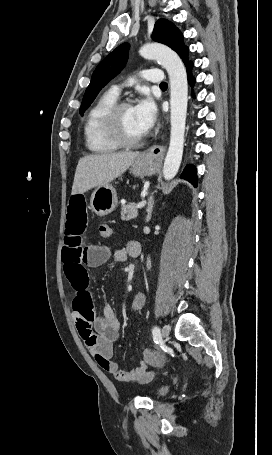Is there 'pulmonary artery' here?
Instances as JSON below:
<instances>
[{
    "label": "pulmonary artery",
    "mask_w": 272,
    "mask_h": 455,
    "mask_svg": "<svg viewBox=\"0 0 272 455\" xmlns=\"http://www.w3.org/2000/svg\"><path fill=\"white\" fill-rule=\"evenodd\" d=\"M142 76L145 80L152 82V83H162L163 82V74L158 69L144 70L142 72ZM120 90H121L120 86H114L111 91L118 95Z\"/></svg>",
    "instance_id": "e3ab8cb5"
}]
</instances>
